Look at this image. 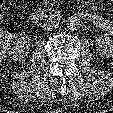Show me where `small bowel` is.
Masks as SVG:
<instances>
[{"label":"small bowel","instance_id":"c3829d8e","mask_svg":"<svg viewBox=\"0 0 113 113\" xmlns=\"http://www.w3.org/2000/svg\"><path fill=\"white\" fill-rule=\"evenodd\" d=\"M87 16V20L95 27L106 31L113 36V21L107 19L99 13H89Z\"/></svg>","mask_w":113,"mask_h":113}]
</instances>
